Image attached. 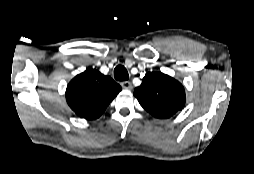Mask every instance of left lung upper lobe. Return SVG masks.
Wrapping results in <instances>:
<instances>
[{
	"label": "left lung upper lobe",
	"mask_w": 254,
	"mask_h": 174,
	"mask_svg": "<svg viewBox=\"0 0 254 174\" xmlns=\"http://www.w3.org/2000/svg\"><path fill=\"white\" fill-rule=\"evenodd\" d=\"M134 96L141 106L156 118H169L185 104L182 84L160 72L147 73L142 84L135 88Z\"/></svg>",
	"instance_id": "1"
}]
</instances>
